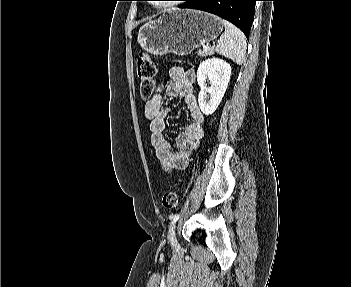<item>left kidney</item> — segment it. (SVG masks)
<instances>
[{
  "label": "left kidney",
  "mask_w": 351,
  "mask_h": 287,
  "mask_svg": "<svg viewBox=\"0 0 351 287\" xmlns=\"http://www.w3.org/2000/svg\"><path fill=\"white\" fill-rule=\"evenodd\" d=\"M230 76L231 66L223 59L213 57L200 63L197 70V82L201 88L198 103L205 115L212 114L219 106L227 89ZM206 79L210 81V87L206 86Z\"/></svg>",
  "instance_id": "obj_1"
}]
</instances>
